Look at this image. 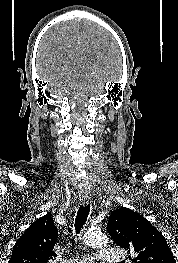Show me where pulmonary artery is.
Returning <instances> with one entry per match:
<instances>
[{
    "label": "pulmonary artery",
    "instance_id": "pulmonary-artery-1",
    "mask_svg": "<svg viewBox=\"0 0 178 263\" xmlns=\"http://www.w3.org/2000/svg\"><path fill=\"white\" fill-rule=\"evenodd\" d=\"M99 258L107 262H120L125 258L123 250L118 248L103 249L99 254ZM92 256H81L65 261V263H91Z\"/></svg>",
    "mask_w": 178,
    "mask_h": 263
}]
</instances>
